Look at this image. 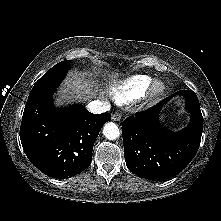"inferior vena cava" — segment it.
I'll use <instances>...</instances> for the list:
<instances>
[{
    "instance_id": "inferior-vena-cava-1",
    "label": "inferior vena cava",
    "mask_w": 221,
    "mask_h": 221,
    "mask_svg": "<svg viewBox=\"0 0 221 221\" xmlns=\"http://www.w3.org/2000/svg\"><path fill=\"white\" fill-rule=\"evenodd\" d=\"M88 110L94 114H101L110 110V103L107 101L95 100L87 105Z\"/></svg>"
}]
</instances>
